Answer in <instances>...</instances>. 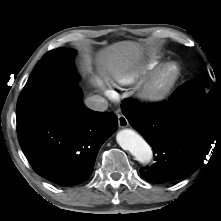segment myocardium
Instances as JSON below:
<instances>
[{"mask_svg":"<svg viewBox=\"0 0 221 221\" xmlns=\"http://www.w3.org/2000/svg\"><path fill=\"white\" fill-rule=\"evenodd\" d=\"M181 73V67L177 62L164 64L143 83L139 90V98L146 104L162 102L174 90Z\"/></svg>","mask_w":221,"mask_h":221,"instance_id":"1","label":"myocardium"}]
</instances>
